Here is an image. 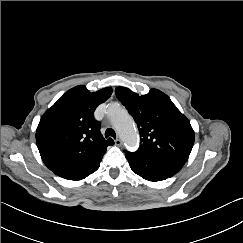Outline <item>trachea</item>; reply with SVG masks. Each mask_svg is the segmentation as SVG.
<instances>
[{
	"mask_svg": "<svg viewBox=\"0 0 243 243\" xmlns=\"http://www.w3.org/2000/svg\"><path fill=\"white\" fill-rule=\"evenodd\" d=\"M105 137L108 138V137H113L114 139L116 138V133L113 129L111 128H108L106 131H105Z\"/></svg>",
	"mask_w": 243,
	"mask_h": 243,
	"instance_id": "trachea-1",
	"label": "trachea"
}]
</instances>
